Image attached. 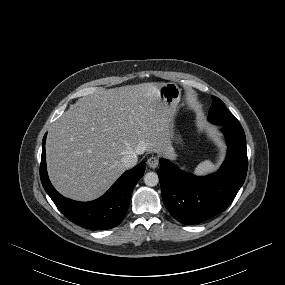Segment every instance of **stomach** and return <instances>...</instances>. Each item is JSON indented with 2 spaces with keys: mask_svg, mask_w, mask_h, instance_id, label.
<instances>
[{
  "mask_svg": "<svg viewBox=\"0 0 285 285\" xmlns=\"http://www.w3.org/2000/svg\"><path fill=\"white\" fill-rule=\"evenodd\" d=\"M159 93L163 102L175 113L181 100V89L175 83H165L161 86Z\"/></svg>",
  "mask_w": 285,
  "mask_h": 285,
  "instance_id": "stomach-1",
  "label": "stomach"
}]
</instances>
